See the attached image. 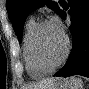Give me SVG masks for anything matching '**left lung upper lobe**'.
<instances>
[{
	"instance_id": "5c2ea615",
	"label": "left lung upper lobe",
	"mask_w": 89,
	"mask_h": 89,
	"mask_svg": "<svg viewBox=\"0 0 89 89\" xmlns=\"http://www.w3.org/2000/svg\"><path fill=\"white\" fill-rule=\"evenodd\" d=\"M45 4L59 15L62 12L58 4L52 0H7L6 6L8 16L12 22L19 43L22 41L23 26L26 17L30 12Z\"/></svg>"
}]
</instances>
